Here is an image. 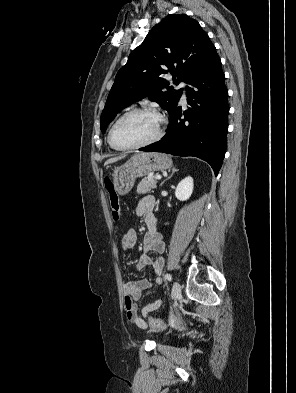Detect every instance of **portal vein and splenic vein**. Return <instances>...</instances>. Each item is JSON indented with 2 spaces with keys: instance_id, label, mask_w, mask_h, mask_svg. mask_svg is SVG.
<instances>
[{
  "instance_id": "portal-vein-and-splenic-vein-1",
  "label": "portal vein and splenic vein",
  "mask_w": 296,
  "mask_h": 393,
  "mask_svg": "<svg viewBox=\"0 0 296 393\" xmlns=\"http://www.w3.org/2000/svg\"><path fill=\"white\" fill-rule=\"evenodd\" d=\"M161 178H162L161 175H156L155 177L156 180H160Z\"/></svg>"
}]
</instances>
